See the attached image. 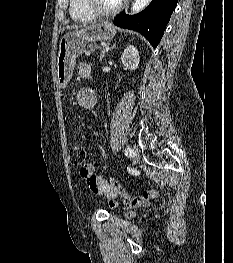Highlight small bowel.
Wrapping results in <instances>:
<instances>
[{
    "mask_svg": "<svg viewBox=\"0 0 233 263\" xmlns=\"http://www.w3.org/2000/svg\"><path fill=\"white\" fill-rule=\"evenodd\" d=\"M90 72L91 69L88 64L82 63L78 66V73L81 77H84L85 74L90 75ZM80 174L86 180L92 192L96 194H104L110 197H114L117 194L112 186L101 175L97 176L94 174V166L92 164H86L85 167L81 168ZM86 174L95 178L94 184L88 183Z\"/></svg>",
    "mask_w": 233,
    "mask_h": 263,
    "instance_id": "c3829d8e",
    "label": "small bowel"
}]
</instances>
